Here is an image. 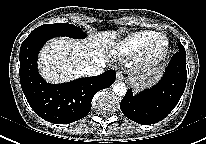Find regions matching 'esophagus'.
<instances>
[{
	"instance_id": "1",
	"label": "esophagus",
	"mask_w": 206,
	"mask_h": 144,
	"mask_svg": "<svg viewBox=\"0 0 206 144\" xmlns=\"http://www.w3.org/2000/svg\"><path fill=\"white\" fill-rule=\"evenodd\" d=\"M116 79H117L118 81H121V80L124 79V76H123L122 72H117V73H116Z\"/></svg>"
}]
</instances>
